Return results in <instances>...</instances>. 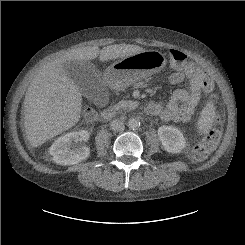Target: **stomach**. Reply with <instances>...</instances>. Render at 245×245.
I'll return each instance as SVG.
<instances>
[{"label":"stomach","mask_w":245,"mask_h":245,"mask_svg":"<svg viewBox=\"0 0 245 245\" xmlns=\"http://www.w3.org/2000/svg\"><path fill=\"white\" fill-rule=\"evenodd\" d=\"M166 64L167 59L161 52L146 50L114 62L106 69L104 79L112 89L121 90L161 71Z\"/></svg>","instance_id":"1"}]
</instances>
